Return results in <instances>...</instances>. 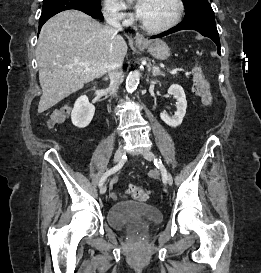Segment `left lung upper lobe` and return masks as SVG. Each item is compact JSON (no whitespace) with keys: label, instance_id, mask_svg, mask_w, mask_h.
<instances>
[{"label":"left lung upper lobe","instance_id":"5c2ea615","mask_svg":"<svg viewBox=\"0 0 261 273\" xmlns=\"http://www.w3.org/2000/svg\"><path fill=\"white\" fill-rule=\"evenodd\" d=\"M184 7H185V11L189 10L190 8H192L193 6H195L198 3H202V2H208V0H182Z\"/></svg>","mask_w":261,"mask_h":273}]
</instances>
